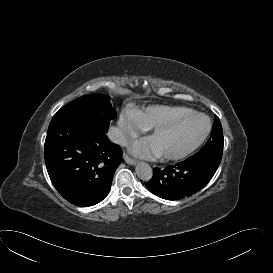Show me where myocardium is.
<instances>
[{"instance_id":"myocardium-1","label":"myocardium","mask_w":273,"mask_h":273,"mask_svg":"<svg viewBox=\"0 0 273 273\" xmlns=\"http://www.w3.org/2000/svg\"><path fill=\"white\" fill-rule=\"evenodd\" d=\"M194 117L203 118L205 120V122H206L205 130H204L203 134L201 135V137L194 144H192L190 147H188L187 149H185V150H183V151H181L179 153L168 154V153H160L159 152V155L162 158H165V159H179V158H182V157L188 155L189 153L194 151L196 148H198L200 145H202L203 142L208 137V135L210 133V130H211V120H210V118L204 113L196 112V111H193V112L189 111V112H186V113L178 116L177 118L173 119L170 122L163 123V124L155 126L148 133L147 139L150 140L156 133H158V132H160L162 130L174 127L177 124L181 123L182 121L190 119V118H194Z\"/></svg>"}]
</instances>
